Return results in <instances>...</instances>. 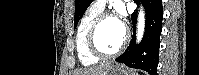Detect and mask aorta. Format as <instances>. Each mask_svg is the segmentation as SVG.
<instances>
[{"label":"aorta","instance_id":"762f6f07","mask_svg":"<svg viewBox=\"0 0 199 75\" xmlns=\"http://www.w3.org/2000/svg\"><path fill=\"white\" fill-rule=\"evenodd\" d=\"M145 30V13L143 8L141 7L138 14V23H137V42L139 43L143 37Z\"/></svg>","mask_w":199,"mask_h":75}]
</instances>
